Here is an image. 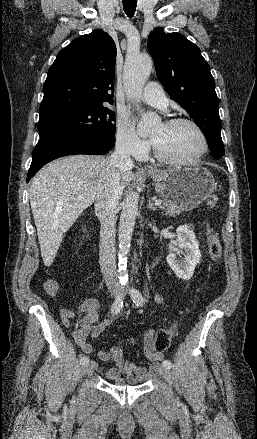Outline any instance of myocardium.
<instances>
[{
    "label": "myocardium",
    "instance_id": "obj_1",
    "mask_svg": "<svg viewBox=\"0 0 257 439\" xmlns=\"http://www.w3.org/2000/svg\"><path fill=\"white\" fill-rule=\"evenodd\" d=\"M184 124L193 127L195 129V131L197 132V134L200 138V141H201V148H200L199 152L189 159H175V158L169 157L166 154H164L163 151L156 144L155 140L153 138H151L150 141L152 144L153 152H154V155L157 159H159L163 162H167V163H171V164H175V165L191 166V165H195L199 160H201L205 156V154L208 151V140H207V137H206L204 131L196 122H194L190 119H187V118H174V119H169V120H166L165 122H163V125H165L167 127H173V126L184 125Z\"/></svg>",
    "mask_w": 257,
    "mask_h": 439
}]
</instances>
